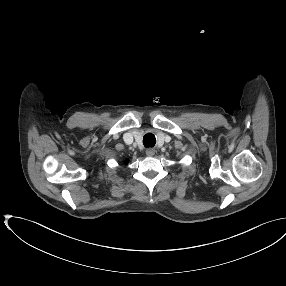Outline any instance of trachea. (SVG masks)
I'll return each instance as SVG.
<instances>
[{
    "instance_id": "obj_1",
    "label": "trachea",
    "mask_w": 286,
    "mask_h": 286,
    "mask_svg": "<svg viewBox=\"0 0 286 286\" xmlns=\"http://www.w3.org/2000/svg\"><path fill=\"white\" fill-rule=\"evenodd\" d=\"M156 143V139L155 136L151 133H147L144 137H143V144L145 147H153Z\"/></svg>"
}]
</instances>
